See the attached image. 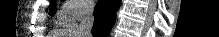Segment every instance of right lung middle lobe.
Returning a JSON list of instances; mask_svg holds the SVG:
<instances>
[{"label": "right lung middle lobe", "mask_w": 219, "mask_h": 37, "mask_svg": "<svg viewBox=\"0 0 219 37\" xmlns=\"http://www.w3.org/2000/svg\"><path fill=\"white\" fill-rule=\"evenodd\" d=\"M55 12H56V4H55V2L54 3L51 2L49 14L52 15V14H55Z\"/></svg>", "instance_id": "right-lung-middle-lobe-1"}]
</instances>
